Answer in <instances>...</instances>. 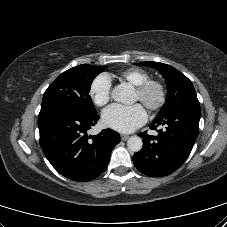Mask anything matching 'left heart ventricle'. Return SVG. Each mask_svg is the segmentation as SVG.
Segmentation results:
<instances>
[{"instance_id": "obj_1", "label": "left heart ventricle", "mask_w": 227, "mask_h": 227, "mask_svg": "<svg viewBox=\"0 0 227 227\" xmlns=\"http://www.w3.org/2000/svg\"><path fill=\"white\" fill-rule=\"evenodd\" d=\"M156 98V94H155V92H152L150 95H149V99H155ZM134 100L135 101H140L141 102V100H140V97H139V95L135 92V94H134Z\"/></svg>"}]
</instances>
